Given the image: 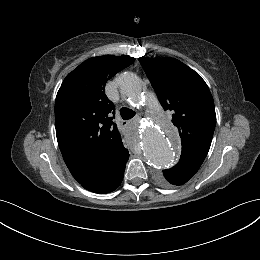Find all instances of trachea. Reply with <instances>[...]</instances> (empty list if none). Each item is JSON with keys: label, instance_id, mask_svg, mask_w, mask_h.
I'll list each match as a JSON object with an SVG mask.
<instances>
[{"label": "trachea", "instance_id": "trachea-1", "mask_svg": "<svg viewBox=\"0 0 260 260\" xmlns=\"http://www.w3.org/2000/svg\"><path fill=\"white\" fill-rule=\"evenodd\" d=\"M135 112L129 108L123 107L120 109V115L122 119L128 120L135 116Z\"/></svg>", "mask_w": 260, "mask_h": 260}]
</instances>
